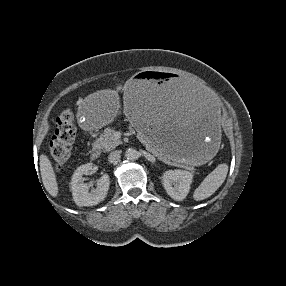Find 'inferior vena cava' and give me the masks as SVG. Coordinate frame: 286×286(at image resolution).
<instances>
[{
	"mask_svg": "<svg viewBox=\"0 0 286 286\" xmlns=\"http://www.w3.org/2000/svg\"><path fill=\"white\" fill-rule=\"evenodd\" d=\"M120 154L121 152L120 151H114V152H111L108 156V161L110 163H113L115 162L119 157H120Z\"/></svg>",
	"mask_w": 286,
	"mask_h": 286,
	"instance_id": "obj_1",
	"label": "inferior vena cava"
}]
</instances>
